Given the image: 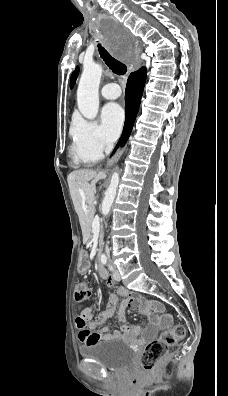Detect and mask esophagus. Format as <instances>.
<instances>
[{"mask_svg":"<svg viewBox=\"0 0 228 396\" xmlns=\"http://www.w3.org/2000/svg\"><path fill=\"white\" fill-rule=\"evenodd\" d=\"M139 54H140V48L137 46L136 50H135V55H136L135 68H137L139 66V62H140ZM117 154H118V152L114 155V157L112 159H114L117 156ZM109 163H110V161H108L107 164H109Z\"/></svg>","mask_w":228,"mask_h":396,"instance_id":"obj_1","label":"esophagus"}]
</instances>
